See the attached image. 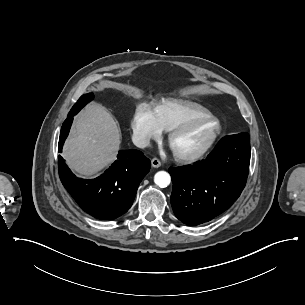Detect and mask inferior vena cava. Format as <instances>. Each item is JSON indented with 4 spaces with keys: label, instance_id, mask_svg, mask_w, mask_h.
<instances>
[{
    "label": "inferior vena cava",
    "instance_id": "1",
    "mask_svg": "<svg viewBox=\"0 0 305 305\" xmlns=\"http://www.w3.org/2000/svg\"><path fill=\"white\" fill-rule=\"evenodd\" d=\"M132 141L134 145L139 148H145L150 144V138L138 132H135L133 134Z\"/></svg>",
    "mask_w": 305,
    "mask_h": 305
}]
</instances>
